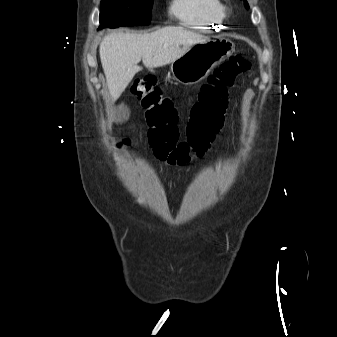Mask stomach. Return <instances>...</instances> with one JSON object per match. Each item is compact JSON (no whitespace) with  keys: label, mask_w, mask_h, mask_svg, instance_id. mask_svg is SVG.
Returning a JSON list of instances; mask_svg holds the SVG:
<instances>
[{"label":"stomach","mask_w":337,"mask_h":337,"mask_svg":"<svg viewBox=\"0 0 337 337\" xmlns=\"http://www.w3.org/2000/svg\"><path fill=\"white\" fill-rule=\"evenodd\" d=\"M234 51V44L227 38L206 40L189 49L171 64L174 78L186 85L198 83Z\"/></svg>","instance_id":"1"}]
</instances>
